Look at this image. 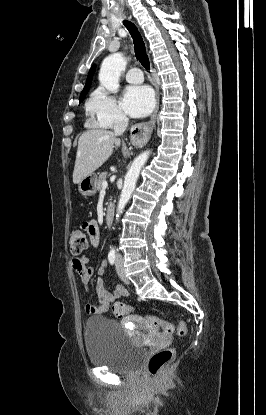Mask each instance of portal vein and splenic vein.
Segmentation results:
<instances>
[{"instance_id":"1","label":"portal vein and splenic vein","mask_w":266,"mask_h":415,"mask_svg":"<svg viewBox=\"0 0 266 415\" xmlns=\"http://www.w3.org/2000/svg\"><path fill=\"white\" fill-rule=\"evenodd\" d=\"M107 186H108V183H107V181L106 180H104L103 182H102V188H107Z\"/></svg>"}]
</instances>
